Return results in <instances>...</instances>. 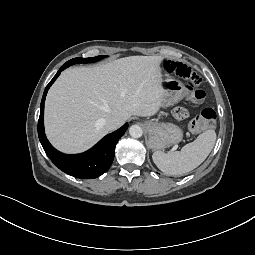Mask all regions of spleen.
<instances>
[{
  "instance_id": "3e777b00",
  "label": "spleen",
  "mask_w": 255,
  "mask_h": 255,
  "mask_svg": "<svg viewBox=\"0 0 255 255\" xmlns=\"http://www.w3.org/2000/svg\"><path fill=\"white\" fill-rule=\"evenodd\" d=\"M216 141L214 130H206L196 140L186 144L181 151L164 153L156 151L152 155L156 166L167 175H184L198 167L209 155Z\"/></svg>"
}]
</instances>
